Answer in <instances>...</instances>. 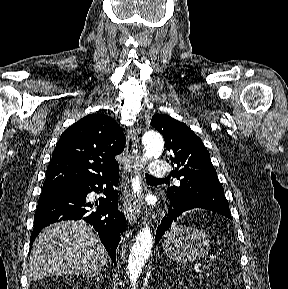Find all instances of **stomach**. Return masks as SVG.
Here are the masks:
<instances>
[{
    "label": "stomach",
    "mask_w": 288,
    "mask_h": 289,
    "mask_svg": "<svg viewBox=\"0 0 288 289\" xmlns=\"http://www.w3.org/2000/svg\"><path fill=\"white\" fill-rule=\"evenodd\" d=\"M210 249L208 236L192 226H178L165 235L163 250L176 261L187 262L203 258Z\"/></svg>",
    "instance_id": "1"
}]
</instances>
